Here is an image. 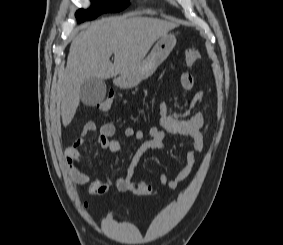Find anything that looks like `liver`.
Instances as JSON below:
<instances>
[{
	"instance_id": "liver-1",
	"label": "liver",
	"mask_w": 283,
	"mask_h": 245,
	"mask_svg": "<svg viewBox=\"0 0 283 245\" xmlns=\"http://www.w3.org/2000/svg\"><path fill=\"white\" fill-rule=\"evenodd\" d=\"M165 20L131 16L114 17L93 23L72 41L62 77L61 117L66 127L80 102V88L90 77H116L136 67L152 45L176 28ZM114 54V63L110 61Z\"/></svg>"
}]
</instances>
